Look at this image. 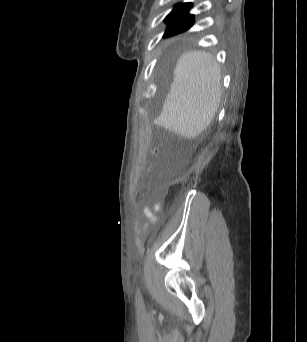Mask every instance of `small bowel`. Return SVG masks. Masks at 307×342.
<instances>
[{
    "label": "small bowel",
    "mask_w": 307,
    "mask_h": 342,
    "mask_svg": "<svg viewBox=\"0 0 307 342\" xmlns=\"http://www.w3.org/2000/svg\"><path fill=\"white\" fill-rule=\"evenodd\" d=\"M160 208H161V204L156 203L155 204V210L159 211ZM143 213L151 222L156 221V217H155L154 213L148 207L144 208ZM146 227H147V224L144 226V230L146 229Z\"/></svg>",
    "instance_id": "c3829d8e"
}]
</instances>
